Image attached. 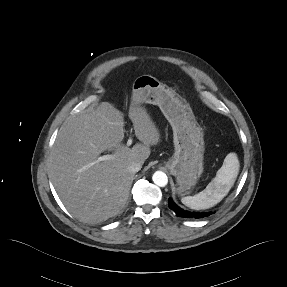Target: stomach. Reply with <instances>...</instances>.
Listing matches in <instances>:
<instances>
[{"label": "stomach", "mask_w": 287, "mask_h": 287, "mask_svg": "<svg viewBox=\"0 0 287 287\" xmlns=\"http://www.w3.org/2000/svg\"><path fill=\"white\" fill-rule=\"evenodd\" d=\"M132 100L158 105L171 124L175 152L165 166L176 177L178 194H188L203 173L205 150L203 131L190 105L151 75H141L133 81Z\"/></svg>", "instance_id": "1"}]
</instances>
